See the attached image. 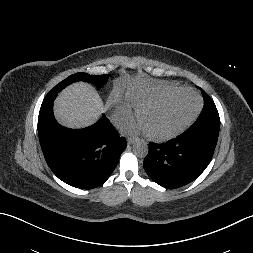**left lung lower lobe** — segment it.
I'll return each instance as SVG.
<instances>
[{
    "mask_svg": "<svg viewBox=\"0 0 253 253\" xmlns=\"http://www.w3.org/2000/svg\"><path fill=\"white\" fill-rule=\"evenodd\" d=\"M220 119L201 118L175 139L149 144L143 166L152 180L174 189L194 181L208 166L218 140Z\"/></svg>",
    "mask_w": 253,
    "mask_h": 253,
    "instance_id": "left-lung-lower-lobe-1",
    "label": "left lung lower lobe"
}]
</instances>
